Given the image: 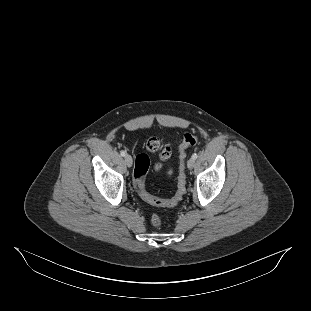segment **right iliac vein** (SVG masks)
<instances>
[{"mask_svg": "<svg viewBox=\"0 0 311 311\" xmlns=\"http://www.w3.org/2000/svg\"><path fill=\"white\" fill-rule=\"evenodd\" d=\"M125 163L128 167H131L133 164V160L132 157L130 155H126L125 156Z\"/></svg>", "mask_w": 311, "mask_h": 311, "instance_id": "1", "label": "right iliac vein"}]
</instances>
